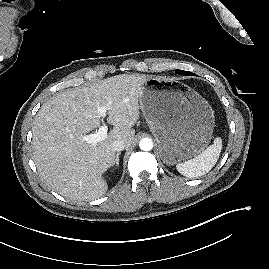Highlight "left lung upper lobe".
<instances>
[{
	"label": "left lung upper lobe",
	"mask_w": 269,
	"mask_h": 269,
	"mask_svg": "<svg viewBox=\"0 0 269 269\" xmlns=\"http://www.w3.org/2000/svg\"><path fill=\"white\" fill-rule=\"evenodd\" d=\"M176 74L179 75H188V76H194L195 74L189 71H183V70H175Z\"/></svg>",
	"instance_id": "1"
}]
</instances>
